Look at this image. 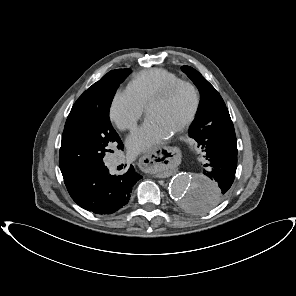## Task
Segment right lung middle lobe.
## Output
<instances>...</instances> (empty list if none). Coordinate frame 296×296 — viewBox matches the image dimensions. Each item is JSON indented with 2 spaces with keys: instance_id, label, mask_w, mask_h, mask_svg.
Wrapping results in <instances>:
<instances>
[{
  "instance_id": "dd1d6c3e",
  "label": "right lung middle lobe",
  "mask_w": 296,
  "mask_h": 296,
  "mask_svg": "<svg viewBox=\"0 0 296 296\" xmlns=\"http://www.w3.org/2000/svg\"><path fill=\"white\" fill-rule=\"evenodd\" d=\"M129 69L108 72L86 90L73 105L65 123L59 166L63 178L101 162L111 149L123 144L111 125L109 109Z\"/></svg>"
}]
</instances>
